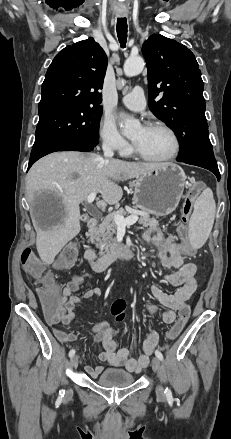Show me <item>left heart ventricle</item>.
<instances>
[{
    "instance_id": "left-heart-ventricle-1",
    "label": "left heart ventricle",
    "mask_w": 231,
    "mask_h": 439,
    "mask_svg": "<svg viewBox=\"0 0 231 439\" xmlns=\"http://www.w3.org/2000/svg\"><path fill=\"white\" fill-rule=\"evenodd\" d=\"M137 149L150 157H162L170 153L172 141L161 129H139L133 136Z\"/></svg>"
}]
</instances>
